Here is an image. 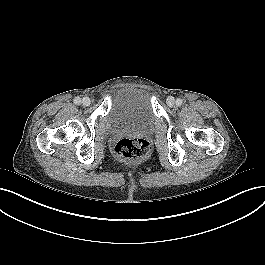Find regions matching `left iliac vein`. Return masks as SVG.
<instances>
[{
	"label": "left iliac vein",
	"instance_id": "obj_1",
	"mask_svg": "<svg viewBox=\"0 0 265 265\" xmlns=\"http://www.w3.org/2000/svg\"><path fill=\"white\" fill-rule=\"evenodd\" d=\"M166 102H167V105L170 106V107H173L175 105V103H176L174 97H172V96H169L167 98Z\"/></svg>",
	"mask_w": 265,
	"mask_h": 265
}]
</instances>
